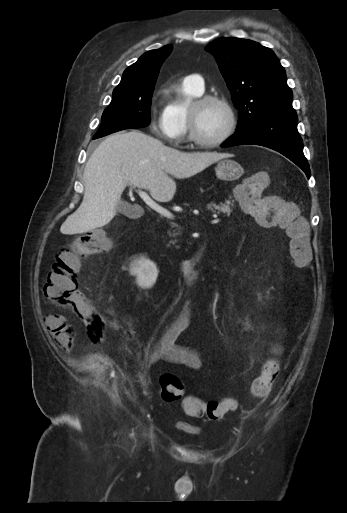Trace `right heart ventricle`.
Segmentation results:
<instances>
[{
  "label": "right heart ventricle",
  "instance_id": "e07e8e85",
  "mask_svg": "<svg viewBox=\"0 0 347 513\" xmlns=\"http://www.w3.org/2000/svg\"><path fill=\"white\" fill-rule=\"evenodd\" d=\"M168 101L163 109L169 118L174 130L178 132V141L188 133L187 112L190 100L199 97L202 92L198 91L185 79L176 85L168 88Z\"/></svg>",
  "mask_w": 347,
  "mask_h": 513
}]
</instances>
